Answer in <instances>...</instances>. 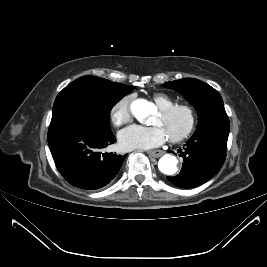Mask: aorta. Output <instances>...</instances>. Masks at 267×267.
Here are the masks:
<instances>
[{
  "mask_svg": "<svg viewBox=\"0 0 267 267\" xmlns=\"http://www.w3.org/2000/svg\"><path fill=\"white\" fill-rule=\"evenodd\" d=\"M132 115L140 122L145 123L152 112V104L146 99H136L130 105ZM178 160L175 156L165 154L159 159L158 168L166 175H173L178 170Z\"/></svg>",
  "mask_w": 267,
  "mask_h": 267,
  "instance_id": "obj_1",
  "label": "aorta"
}]
</instances>
